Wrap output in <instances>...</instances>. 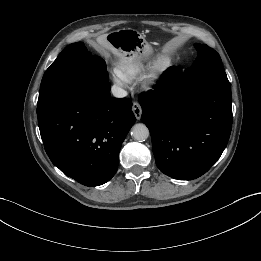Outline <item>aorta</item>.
Instances as JSON below:
<instances>
[{
  "instance_id": "obj_1",
  "label": "aorta",
  "mask_w": 261,
  "mask_h": 261,
  "mask_svg": "<svg viewBox=\"0 0 261 261\" xmlns=\"http://www.w3.org/2000/svg\"><path fill=\"white\" fill-rule=\"evenodd\" d=\"M131 136L136 141L143 142L148 138L149 130L146 125L138 123L133 126Z\"/></svg>"
}]
</instances>
